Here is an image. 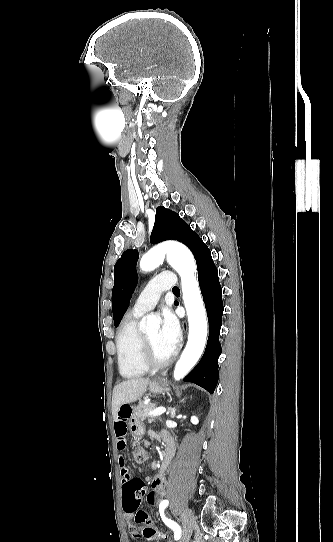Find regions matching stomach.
<instances>
[{"mask_svg":"<svg viewBox=\"0 0 333 542\" xmlns=\"http://www.w3.org/2000/svg\"><path fill=\"white\" fill-rule=\"evenodd\" d=\"M148 390L151 394H163V392H169L168 382H166V380H158V382L153 380V382L148 384ZM130 430L134 439H140L144 428L139 423H134L131 425Z\"/></svg>","mask_w":333,"mask_h":542,"instance_id":"1","label":"stomach"}]
</instances>
